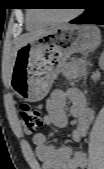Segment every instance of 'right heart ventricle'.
<instances>
[{
    "label": "right heart ventricle",
    "mask_w": 104,
    "mask_h": 169,
    "mask_svg": "<svg viewBox=\"0 0 104 169\" xmlns=\"http://www.w3.org/2000/svg\"><path fill=\"white\" fill-rule=\"evenodd\" d=\"M26 25L29 30H40L46 26V23L41 21L34 12H30L26 17Z\"/></svg>",
    "instance_id": "e07e8e85"
}]
</instances>
